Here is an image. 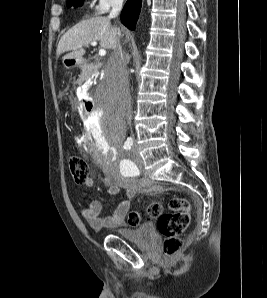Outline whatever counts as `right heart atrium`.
<instances>
[{
    "instance_id": "right-heart-atrium-1",
    "label": "right heart atrium",
    "mask_w": 267,
    "mask_h": 298,
    "mask_svg": "<svg viewBox=\"0 0 267 298\" xmlns=\"http://www.w3.org/2000/svg\"><path fill=\"white\" fill-rule=\"evenodd\" d=\"M124 0H93V11L96 14H105L110 9L120 6Z\"/></svg>"
}]
</instances>
